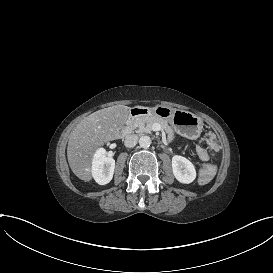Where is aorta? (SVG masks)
Segmentation results:
<instances>
[{
    "instance_id": "aorta-1",
    "label": "aorta",
    "mask_w": 273,
    "mask_h": 273,
    "mask_svg": "<svg viewBox=\"0 0 273 273\" xmlns=\"http://www.w3.org/2000/svg\"><path fill=\"white\" fill-rule=\"evenodd\" d=\"M139 145L142 148H148L151 145V138L149 136H141L139 139Z\"/></svg>"
}]
</instances>
